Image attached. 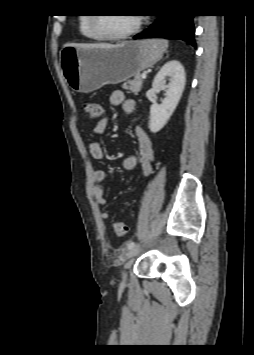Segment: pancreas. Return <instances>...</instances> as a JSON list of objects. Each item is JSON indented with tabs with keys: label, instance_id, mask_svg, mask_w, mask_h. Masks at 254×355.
<instances>
[{
	"label": "pancreas",
	"instance_id": "pancreas-1",
	"mask_svg": "<svg viewBox=\"0 0 254 355\" xmlns=\"http://www.w3.org/2000/svg\"><path fill=\"white\" fill-rule=\"evenodd\" d=\"M143 80L138 75L133 80H129L122 85V88L137 95L141 90Z\"/></svg>",
	"mask_w": 254,
	"mask_h": 355
}]
</instances>
